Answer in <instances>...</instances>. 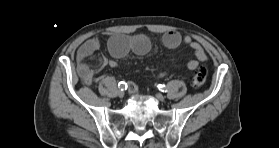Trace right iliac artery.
Here are the masks:
<instances>
[{
  "instance_id": "obj_1",
  "label": "right iliac artery",
  "mask_w": 279,
  "mask_h": 148,
  "mask_svg": "<svg viewBox=\"0 0 279 148\" xmlns=\"http://www.w3.org/2000/svg\"><path fill=\"white\" fill-rule=\"evenodd\" d=\"M118 87L121 90H126L127 89V84L124 81H121V82L118 83Z\"/></svg>"
}]
</instances>
